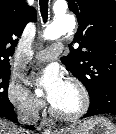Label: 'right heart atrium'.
<instances>
[{
    "mask_svg": "<svg viewBox=\"0 0 116 134\" xmlns=\"http://www.w3.org/2000/svg\"><path fill=\"white\" fill-rule=\"evenodd\" d=\"M6 96L9 103L21 113L36 114L41 108L40 100L14 81L8 83Z\"/></svg>",
    "mask_w": 116,
    "mask_h": 134,
    "instance_id": "obj_1",
    "label": "right heart atrium"
}]
</instances>
